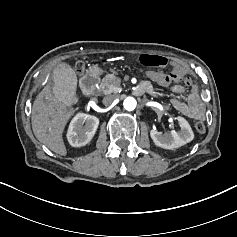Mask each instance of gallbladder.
<instances>
[{
  "label": "gallbladder",
  "mask_w": 237,
  "mask_h": 237,
  "mask_svg": "<svg viewBox=\"0 0 237 237\" xmlns=\"http://www.w3.org/2000/svg\"><path fill=\"white\" fill-rule=\"evenodd\" d=\"M54 78L56 80V98L65 104H72L75 99L76 79L70 65H61L55 68Z\"/></svg>",
  "instance_id": "bac80fb5"
}]
</instances>
